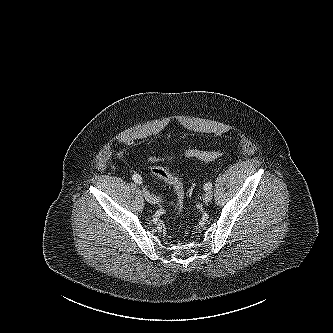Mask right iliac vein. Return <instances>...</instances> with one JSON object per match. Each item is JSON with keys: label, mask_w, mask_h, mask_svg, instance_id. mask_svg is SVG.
I'll list each match as a JSON object with an SVG mask.
<instances>
[{"label": "right iliac vein", "mask_w": 333, "mask_h": 333, "mask_svg": "<svg viewBox=\"0 0 333 333\" xmlns=\"http://www.w3.org/2000/svg\"><path fill=\"white\" fill-rule=\"evenodd\" d=\"M142 192H143V196L145 197V199L149 203H151V204H155L156 203V200H157L156 197H154V195H152L147 188L143 187L142 188Z\"/></svg>", "instance_id": "63e3f726"}]
</instances>
